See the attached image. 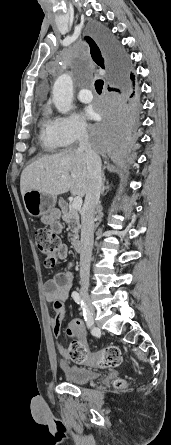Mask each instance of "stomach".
Masks as SVG:
<instances>
[{
  "label": "stomach",
  "instance_id": "1",
  "mask_svg": "<svg viewBox=\"0 0 171 445\" xmlns=\"http://www.w3.org/2000/svg\"><path fill=\"white\" fill-rule=\"evenodd\" d=\"M56 197L29 190L23 195V202L27 213L33 217L50 215L53 221L59 219V211L55 209Z\"/></svg>",
  "mask_w": 171,
  "mask_h": 445
}]
</instances>
